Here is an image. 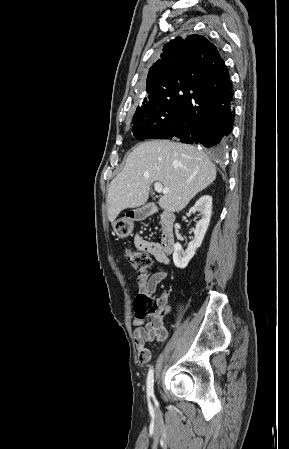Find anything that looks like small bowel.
Segmentation results:
<instances>
[{"label": "small bowel", "mask_w": 289, "mask_h": 449, "mask_svg": "<svg viewBox=\"0 0 289 449\" xmlns=\"http://www.w3.org/2000/svg\"><path fill=\"white\" fill-rule=\"evenodd\" d=\"M134 244L138 249L153 255L158 262L162 264L168 263V257L161 249L159 243L146 240L140 235H136L134 238ZM166 277L167 272L160 268L155 271L139 274L137 277L138 296L146 295L151 297L156 291L157 286L163 282ZM164 303H166L165 299ZM132 323L137 327L134 332V338L139 359L141 362H148L151 354L147 344L155 340H165L167 337V332L163 327V324L151 319L145 321L137 312L133 315Z\"/></svg>", "instance_id": "c3829d8e"}]
</instances>
